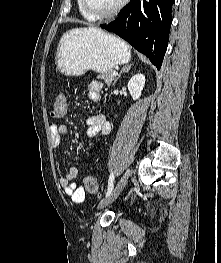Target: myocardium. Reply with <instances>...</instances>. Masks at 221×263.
I'll return each instance as SVG.
<instances>
[{
    "instance_id": "f54148a6",
    "label": "myocardium",
    "mask_w": 221,
    "mask_h": 263,
    "mask_svg": "<svg viewBox=\"0 0 221 263\" xmlns=\"http://www.w3.org/2000/svg\"><path fill=\"white\" fill-rule=\"evenodd\" d=\"M129 0H121L119 4L113 8L110 11L104 12V13H94L90 10L87 4V0H80L81 6L84 10V12L88 15L89 18L92 20H101V19H107L111 18L115 15H117L128 3Z\"/></svg>"
}]
</instances>
